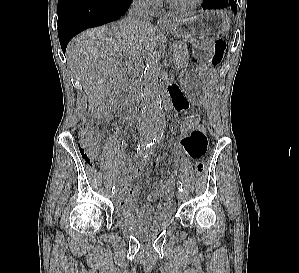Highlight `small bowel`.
Here are the masks:
<instances>
[{
	"instance_id": "1",
	"label": "small bowel",
	"mask_w": 299,
	"mask_h": 273,
	"mask_svg": "<svg viewBox=\"0 0 299 273\" xmlns=\"http://www.w3.org/2000/svg\"><path fill=\"white\" fill-rule=\"evenodd\" d=\"M171 105L177 113L185 112L189 103L175 85L170 88ZM109 115L107 120H111ZM181 147L184 153L193 160L200 159L207 149V138L204 131L198 127L189 136L181 138ZM148 165V155L142 154L133 157L128 163L121 161L119 163V183H118V205L119 208L142 219H149L155 212V208L150 202H159L158 214L166 215L173 213L176 209L172 200L176 186V171L172 172L169 177L160 184L156 189L151 191L147 196V203L137 208L136 195L139 192L138 187H130L127 182L140 176Z\"/></svg>"
}]
</instances>
